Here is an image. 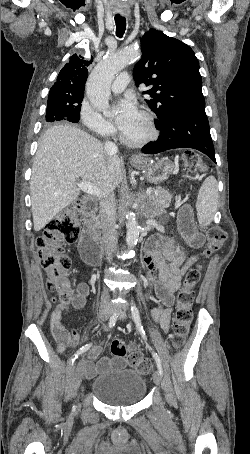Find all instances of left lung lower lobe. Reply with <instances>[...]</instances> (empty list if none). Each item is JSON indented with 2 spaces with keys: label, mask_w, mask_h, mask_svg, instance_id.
Here are the masks:
<instances>
[{
  "label": "left lung lower lobe",
  "mask_w": 250,
  "mask_h": 454,
  "mask_svg": "<svg viewBox=\"0 0 250 454\" xmlns=\"http://www.w3.org/2000/svg\"><path fill=\"white\" fill-rule=\"evenodd\" d=\"M160 135L155 142L142 148L145 154H156L175 148H193L209 156L215 163V152L205 109L177 113L157 127Z\"/></svg>",
  "instance_id": "obj_1"
}]
</instances>
